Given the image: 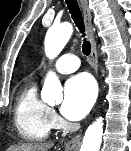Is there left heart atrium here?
<instances>
[{
  "instance_id": "left-heart-atrium-1",
  "label": "left heart atrium",
  "mask_w": 131,
  "mask_h": 151,
  "mask_svg": "<svg viewBox=\"0 0 131 151\" xmlns=\"http://www.w3.org/2000/svg\"><path fill=\"white\" fill-rule=\"evenodd\" d=\"M96 97V84L87 73L71 77L65 84L62 114L70 120L83 118L91 109Z\"/></svg>"
}]
</instances>
